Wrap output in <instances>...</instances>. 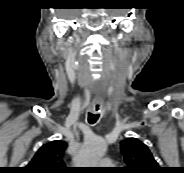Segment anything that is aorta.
<instances>
[{
  "label": "aorta",
  "instance_id": "762f6f07",
  "mask_svg": "<svg viewBox=\"0 0 184 173\" xmlns=\"http://www.w3.org/2000/svg\"><path fill=\"white\" fill-rule=\"evenodd\" d=\"M106 152V143L99 137H92L83 143L76 163L80 167H95L97 162L103 157Z\"/></svg>",
  "mask_w": 184,
  "mask_h": 173
}]
</instances>
